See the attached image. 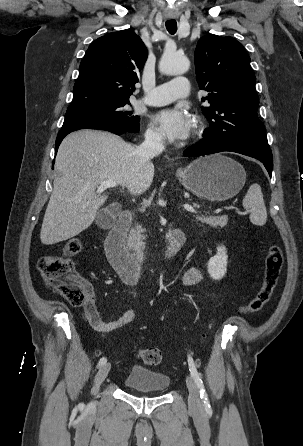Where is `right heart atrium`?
<instances>
[{"instance_id": "obj_1", "label": "right heart atrium", "mask_w": 303, "mask_h": 446, "mask_svg": "<svg viewBox=\"0 0 303 446\" xmlns=\"http://www.w3.org/2000/svg\"><path fill=\"white\" fill-rule=\"evenodd\" d=\"M145 138L151 144H159L163 140L161 134L152 126L147 128Z\"/></svg>"}]
</instances>
